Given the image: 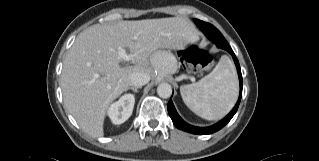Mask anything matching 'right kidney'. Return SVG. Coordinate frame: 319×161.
Returning a JSON list of instances; mask_svg holds the SVG:
<instances>
[{
    "mask_svg": "<svg viewBox=\"0 0 319 161\" xmlns=\"http://www.w3.org/2000/svg\"><path fill=\"white\" fill-rule=\"evenodd\" d=\"M135 103V97L132 94H125L108 109V116L114 124L124 123L131 115Z\"/></svg>",
    "mask_w": 319,
    "mask_h": 161,
    "instance_id": "1",
    "label": "right kidney"
}]
</instances>
